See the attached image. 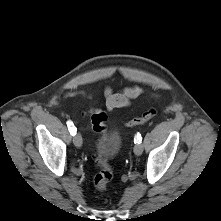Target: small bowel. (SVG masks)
<instances>
[{
    "instance_id": "c3829d8e",
    "label": "small bowel",
    "mask_w": 221,
    "mask_h": 221,
    "mask_svg": "<svg viewBox=\"0 0 221 221\" xmlns=\"http://www.w3.org/2000/svg\"><path fill=\"white\" fill-rule=\"evenodd\" d=\"M141 90L137 86H129L123 89L121 92H114L112 89L107 88L105 90L106 106L108 110H114L116 108L127 106L131 99L140 95ZM75 95L74 92L68 93V96Z\"/></svg>"
}]
</instances>
